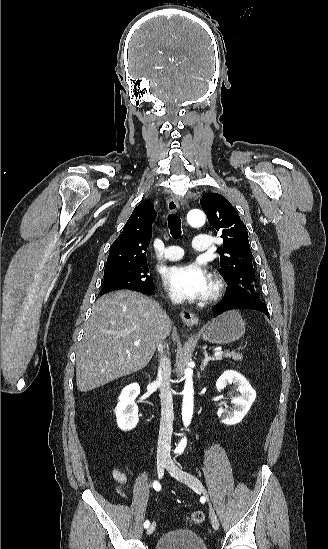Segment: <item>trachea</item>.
<instances>
[{"label":"trachea","mask_w":328,"mask_h":549,"mask_svg":"<svg viewBox=\"0 0 328 549\" xmlns=\"http://www.w3.org/2000/svg\"><path fill=\"white\" fill-rule=\"evenodd\" d=\"M168 228L173 238H182L181 219L177 214L170 213L168 215Z\"/></svg>","instance_id":"trachea-1"}]
</instances>
